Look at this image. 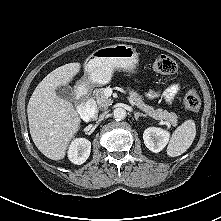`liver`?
I'll list each match as a JSON object with an SVG mask.
<instances>
[{"instance_id":"6515ba94","label":"liver","mask_w":221,"mask_h":221,"mask_svg":"<svg viewBox=\"0 0 221 221\" xmlns=\"http://www.w3.org/2000/svg\"><path fill=\"white\" fill-rule=\"evenodd\" d=\"M80 68L81 64L74 62L50 72L37 85L27 106L32 140L52 160L65 157L70 141L81 127L73 104L56 94V88L70 83Z\"/></svg>"}]
</instances>
